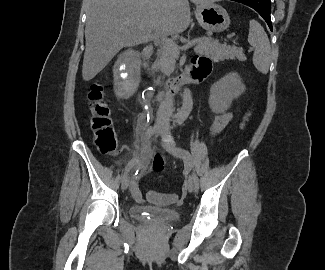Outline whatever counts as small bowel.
<instances>
[{"instance_id": "obj_1", "label": "small bowel", "mask_w": 325, "mask_h": 270, "mask_svg": "<svg viewBox=\"0 0 325 270\" xmlns=\"http://www.w3.org/2000/svg\"><path fill=\"white\" fill-rule=\"evenodd\" d=\"M212 70V62L211 60L204 55H198L192 58L189 64V75L194 80H203L207 77ZM233 119L232 112H224L217 115L211 124L210 130L213 134L222 131ZM162 168V162L157 161L155 163V169L159 170ZM132 196L136 201L142 200V194L139 190L138 185L133 182L132 183Z\"/></svg>"}]
</instances>
